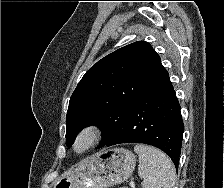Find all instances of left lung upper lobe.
Returning a JSON list of instances; mask_svg holds the SVG:
<instances>
[{"label":"left lung upper lobe","instance_id":"left-lung-upper-lobe-1","mask_svg":"<svg viewBox=\"0 0 224 188\" xmlns=\"http://www.w3.org/2000/svg\"><path fill=\"white\" fill-rule=\"evenodd\" d=\"M159 55L144 41L124 46L99 60L78 83L66 117V145L78 132L97 125L103 147L121 126L130 107L152 84L166 76Z\"/></svg>","mask_w":224,"mask_h":188}]
</instances>
